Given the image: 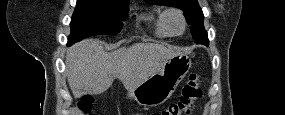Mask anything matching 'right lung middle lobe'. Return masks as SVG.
<instances>
[{
    "label": "right lung middle lobe",
    "instance_id": "obj_1",
    "mask_svg": "<svg viewBox=\"0 0 285 115\" xmlns=\"http://www.w3.org/2000/svg\"><path fill=\"white\" fill-rule=\"evenodd\" d=\"M129 2L113 0H77L71 18L68 45L92 35H113L122 29Z\"/></svg>",
    "mask_w": 285,
    "mask_h": 115
}]
</instances>
